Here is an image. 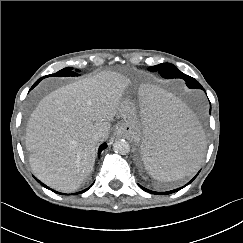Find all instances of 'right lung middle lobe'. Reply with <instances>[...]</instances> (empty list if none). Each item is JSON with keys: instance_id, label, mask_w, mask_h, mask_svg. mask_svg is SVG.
Returning a JSON list of instances; mask_svg holds the SVG:
<instances>
[{"instance_id": "right-lung-middle-lobe-1", "label": "right lung middle lobe", "mask_w": 243, "mask_h": 243, "mask_svg": "<svg viewBox=\"0 0 243 243\" xmlns=\"http://www.w3.org/2000/svg\"><path fill=\"white\" fill-rule=\"evenodd\" d=\"M71 70H72L71 67L64 68V69L58 71V72L55 73V74H50V75H47V76H45V77H48V76H58V77H63V76H76V75H78L77 73L72 72ZM45 77H42V79L45 78ZM33 87H34V86H33ZM33 87H32V88H33Z\"/></svg>"}]
</instances>
